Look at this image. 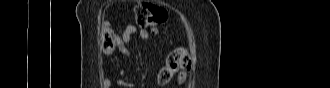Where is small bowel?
<instances>
[{"mask_svg":"<svg viewBox=\"0 0 330 88\" xmlns=\"http://www.w3.org/2000/svg\"><path fill=\"white\" fill-rule=\"evenodd\" d=\"M137 27L133 24H129L125 27L124 31L122 32L120 38L117 42V49L120 53H122L125 56L130 55V51L127 47V44H129L132 40L134 35L137 33ZM138 36L141 40H147L150 37V34L147 30L141 29L138 31ZM134 85L132 83H128L122 79L117 81V87H133Z\"/></svg>","mask_w":330,"mask_h":88,"instance_id":"obj_1","label":"small bowel"}]
</instances>
